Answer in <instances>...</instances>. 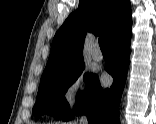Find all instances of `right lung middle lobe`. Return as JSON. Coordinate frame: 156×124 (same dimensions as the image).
Listing matches in <instances>:
<instances>
[{
    "label": "right lung middle lobe",
    "instance_id": "dd1d6c3e",
    "mask_svg": "<svg viewBox=\"0 0 156 124\" xmlns=\"http://www.w3.org/2000/svg\"><path fill=\"white\" fill-rule=\"evenodd\" d=\"M83 69L84 63L59 74L42 78L36 103L32 111L33 115L40 116L49 114L57 119H63L70 112V106L67 103L64 94L81 75ZM94 77L95 76L92 75H86L85 80L92 82ZM87 89L84 92L79 93L75 106L82 101Z\"/></svg>",
    "mask_w": 156,
    "mask_h": 124
}]
</instances>
